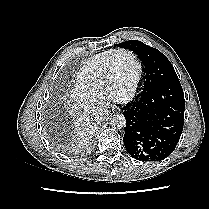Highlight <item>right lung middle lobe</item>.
I'll list each match as a JSON object with an SVG mask.
<instances>
[{"label": "right lung middle lobe", "mask_w": 209, "mask_h": 209, "mask_svg": "<svg viewBox=\"0 0 209 209\" xmlns=\"http://www.w3.org/2000/svg\"><path fill=\"white\" fill-rule=\"evenodd\" d=\"M56 144L61 151H70V152L77 151L75 148H71L70 146H68V144L64 143L60 139H56Z\"/></svg>", "instance_id": "dd1d6c3e"}]
</instances>
